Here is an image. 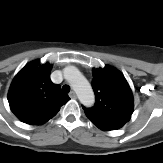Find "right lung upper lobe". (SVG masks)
<instances>
[{"label":"right lung upper lobe","mask_w":163,"mask_h":163,"mask_svg":"<svg viewBox=\"0 0 163 163\" xmlns=\"http://www.w3.org/2000/svg\"><path fill=\"white\" fill-rule=\"evenodd\" d=\"M52 65L34 60L15 76L8 92L12 112L24 123L41 125L54 117L69 96L50 79Z\"/></svg>","instance_id":"cb5924a9"}]
</instances>
